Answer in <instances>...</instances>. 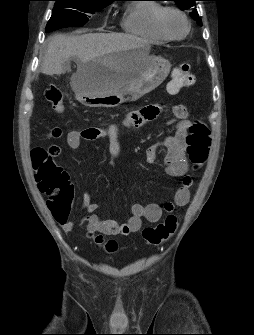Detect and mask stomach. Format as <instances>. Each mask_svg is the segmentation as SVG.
<instances>
[{
	"label": "stomach",
	"instance_id": "obj_1",
	"mask_svg": "<svg viewBox=\"0 0 254 335\" xmlns=\"http://www.w3.org/2000/svg\"><path fill=\"white\" fill-rule=\"evenodd\" d=\"M140 63H147L148 68L143 73L137 74L118 91H103L101 85H98L94 79L77 80L76 99L87 107L114 108L125 101H136L154 90L165 80L171 69L168 60L149 55V47L144 45L91 61L87 68L91 70V76H98L117 68L124 69Z\"/></svg>",
	"mask_w": 254,
	"mask_h": 335
}]
</instances>
